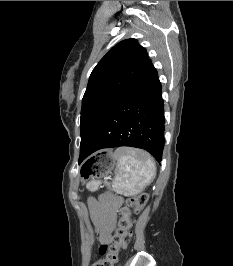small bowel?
<instances>
[{
	"mask_svg": "<svg viewBox=\"0 0 233 266\" xmlns=\"http://www.w3.org/2000/svg\"><path fill=\"white\" fill-rule=\"evenodd\" d=\"M121 203V198L112 195H101L90 203L92 221L99 241L103 245L110 242Z\"/></svg>",
	"mask_w": 233,
	"mask_h": 266,
	"instance_id": "small-bowel-1",
	"label": "small bowel"
}]
</instances>
